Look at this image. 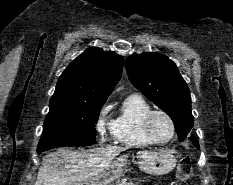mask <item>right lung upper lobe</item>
Listing matches in <instances>:
<instances>
[{
    "label": "right lung upper lobe",
    "instance_id": "obj_1",
    "mask_svg": "<svg viewBox=\"0 0 233 185\" xmlns=\"http://www.w3.org/2000/svg\"><path fill=\"white\" fill-rule=\"evenodd\" d=\"M123 57L91 47L78 56L60 76L53 97L104 101L119 81Z\"/></svg>",
    "mask_w": 233,
    "mask_h": 185
}]
</instances>
